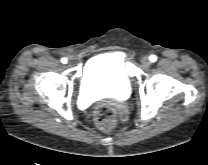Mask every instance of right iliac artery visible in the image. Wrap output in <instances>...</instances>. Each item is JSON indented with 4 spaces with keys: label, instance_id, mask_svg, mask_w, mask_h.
<instances>
[{
    "label": "right iliac artery",
    "instance_id": "82829eb1",
    "mask_svg": "<svg viewBox=\"0 0 208 165\" xmlns=\"http://www.w3.org/2000/svg\"><path fill=\"white\" fill-rule=\"evenodd\" d=\"M61 62L65 64L67 62V58H62Z\"/></svg>",
    "mask_w": 208,
    "mask_h": 165
}]
</instances>
